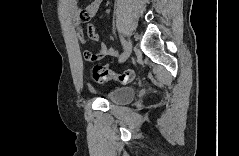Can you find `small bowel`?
<instances>
[{
  "mask_svg": "<svg viewBox=\"0 0 239 156\" xmlns=\"http://www.w3.org/2000/svg\"><path fill=\"white\" fill-rule=\"evenodd\" d=\"M66 3L69 12L73 15L74 18L73 23L76 28L77 37L79 38L81 43L85 44L86 40L82 30L83 21L79 19V15L81 11H86L90 15V19L95 17L101 5V0L91 1L83 10H81L74 1H67ZM87 34L92 40L98 41L99 35L93 24H89L87 26ZM116 54H117L116 51L108 48V46L105 43H101L97 52L92 53L87 51L85 52V57L91 62H96L107 56H115Z\"/></svg>",
  "mask_w": 239,
  "mask_h": 156,
  "instance_id": "obj_1",
  "label": "small bowel"
}]
</instances>
